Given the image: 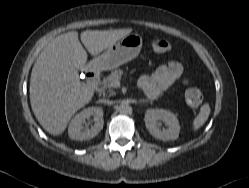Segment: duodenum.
<instances>
[{
    "label": "duodenum",
    "mask_w": 249,
    "mask_h": 188,
    "mask_svg": "<svg viewBox=\"0 0 249 188\" xmlns=\"http://www.w3.org/2000/svg\"><path fill=\"white\" fill-rule=\"evenodd\" d=\"M86 76H87V82L92 88H97L98 82H99V76L98 73L93 70L89 69L86 71Z\"/></svg>",
    "instance_id": "duodenum-1"
}]
</instances>
